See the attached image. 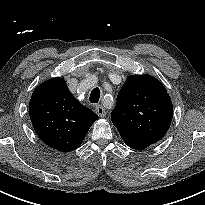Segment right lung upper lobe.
<instances>
[{"instance_id": "cb5924a9", "label": "right lung upper lobe", "mask_w": 205, "mask_h": 205, "mask_svg": "<svg viewBox=\"0 0 205 205\" xmlns=\"http://www.w3.org/2000/svg\"><path fill=\"white\" fill-rule=\"evenodd\" d=\"M29 115L39 138L63 152L77 149L98 119L77 101L62 78H52L34 90Z\"/></svg>"}]
</instances>
